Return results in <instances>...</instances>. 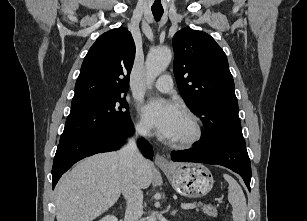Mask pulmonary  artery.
<instances>
[{
	"instance_id": "e3ab8cb5",
	"label": "pulmonary artery",
	"mask_w": 307,
	"mask_h": 221,
	"mask_svg": "<svg viewBox=\"0 0 307 221\" xmlns=\"http://www.w3.org/2000/svg\"><path fill=\"white\" fill-rule=\"evenodd\" d=\"M154 87L163 93H169L173 90V82L170 75L161 76L155 83Z\"/></svg>"
}]
</instances>
